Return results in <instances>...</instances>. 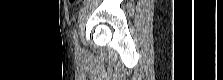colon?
Returning a JSON list of instances; mask_svg holds the SVG:
<instances>
[{"instance_id":"1","label":"colon","mask_w":223,"mask_h":80,"mask_svg":"<svg viewBox=\"0 0 223 80\" xmlns=\"http://www.w3.org/2000/svg\"><path fill=\"white\" fill-rule=\"evenodd\" d=\"M70 2H75V0H69Z\"/></svg>"}]
</instances>
